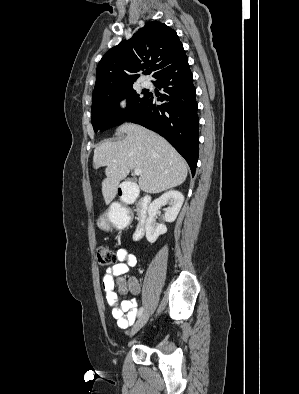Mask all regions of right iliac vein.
<instances>
[{
	"label": "right iliac vein",
	"mask_w": 299,
	"mask_h": 394,
	"mask_svg": "<svg viewBox=\"0 0 299 394\" xmlns=\"http://www.w3.org/2000/svg\"><path fill=\"white\" fill-rule=\"evenodd\" d=\"M149 314L147 312L143 313L139 319L136 321L134 324L132 331H131V336L136 334L148 321Z\"/></svg>",
	"instance_id": "right-iliac-vein-1"
}]
</instances>
